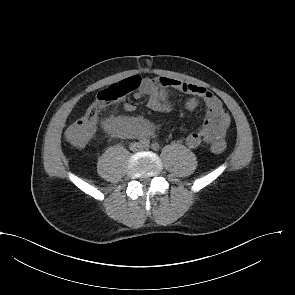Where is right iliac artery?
Returning <instances> with one entry per match:
<instances>
[{
  "mask_svg": "<svg viewBox=\"0 0 295 295\" xmlns=\"http://www.w3.org/2000/svg\"><path fill=\"white\" fill-rule=\"evenodd\" d=\"M141 144L148 146L150 144V140L148 138H143L140 140Z\"/></svg>",
  "mask_w": 295,
  "mask_h": 295,
  "instance_id": "1",
  "label": "right iliac artery"
}]
</instances>
